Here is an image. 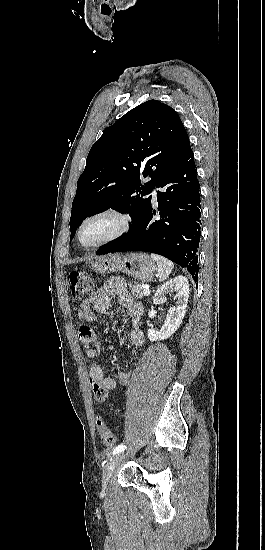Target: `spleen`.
I'll use <instances>...</instances> for the list:
<instances>
[{"mask_svg":"<svg viewBox=\"0 0 265 550\" xmlns=\"http://www.w3.org/2000/svg\"><path fill=\"white\" fill-rule=\"evenodd\" d=\"M151 258L157 263L159 281L166 280L174 268L173 262L156 254H151Z\"/></svg>","mask_w":265,"mask_h":550,"instance_id":"obj_1","label":"spleen"}]
</instances>
